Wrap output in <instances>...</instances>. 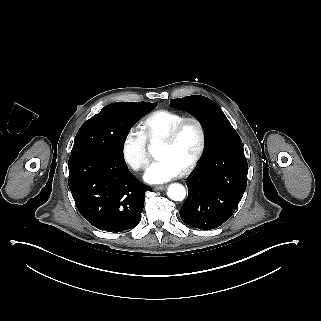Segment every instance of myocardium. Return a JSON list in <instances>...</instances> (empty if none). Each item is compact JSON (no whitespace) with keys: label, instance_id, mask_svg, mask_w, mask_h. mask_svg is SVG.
I'll list each match as a JSON object with an SVG mask.
<instances>
[{"label":"myocardium","instance_id":"myocardium-1","mask_svg":"<svg viewBox=\"0 0 321 321\" xmlns=\"http://www.w3.org/2000/svg\"><path fill=\"white\" fill-rule=\"evenodd\" d=\"M190 122L195 123L198 127L199 147L195 156L192 158L190 163L183 170L182 172L183 174L191 173L199 165L200 161L202 160L205 154L206 144H207V134H206V129L203 122L198 117H195V116L185 117L184 119L179 121L177 124H175L166 134L161 136V139L169 143H173L177 140L184 126Z\"/></svg>","mask_w":321,"mask_h":321}]
</instances>
